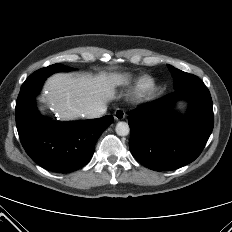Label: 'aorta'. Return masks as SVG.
Here are the masks:
<instances>
[{
    "instance_id": "762f6f07",
    "label": "aorta",
    "mask_w": 232,
    "mask_h": 232,
    "mask_svg": "<svg viewBox=\"0 0 232 232\" xmlns=\"http://www.w3.org/2000/svg\"><path fill=\"white\" fill-rule=\"evenodd\" d=\"M115 131L119 136H127L130 132L129 125L126 122H118Z\"/></svg>"
}]
</instances>
